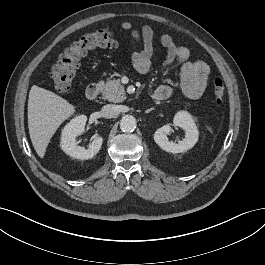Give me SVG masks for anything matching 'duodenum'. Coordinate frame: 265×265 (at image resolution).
<instances>
[{"label": "duodenum", "mask_w": 265, "mask_h": 265, "mask_svg": "<svg viewBox=\"0 0 265 265\" xmlns=\"http://www.w3.org/2000/svg\"><path fill=\"white\" fill-rule=\"evenodd\" d=\"M100 87L98 84H91L86 89V97L88 100H94L98 96ZM155 98V97H154Z\"/></svg>", "instance_id": "duodenum-1"}]
</instances>
